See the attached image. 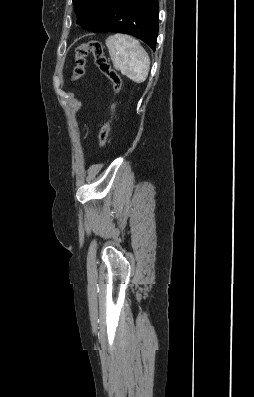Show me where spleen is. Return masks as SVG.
<instances>
[{"instance_id":"3e777b00","label":"spleen","mask_w":254,"mask_h":397,"mask_svg":"<svg viewBox=\"0 0 254 397\" xmlns=\"http://www.w3.org/2000/svg\"><path fill=\"white\" fill-rule=\"evenodd\" d=\"M106 46L116 70L136 83L146 80L150 60L138 40L128 35L115 34L107 38Z\"/></svg>"}]
</instances>
